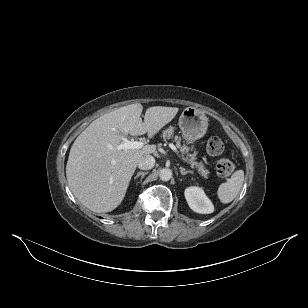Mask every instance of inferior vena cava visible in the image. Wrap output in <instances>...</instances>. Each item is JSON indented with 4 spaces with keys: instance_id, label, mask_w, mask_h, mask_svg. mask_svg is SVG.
<instances>
[{
    "instance_id": "obj_1",
    "label": "inferior vena cava",
    "mask_w": 308,
    "mask_h": 308,
    "mask_svg": "<svg viewBox=\"0 0 308 308\" xmlns=\"http://www.w3.org/2000/svg\"><path fill=\"white\" fill-rule=\"evenodd\" d=\"M155 166V159L151 155L142 156L138 162V168L141 170H150Z\"/></svg>"
}]
</instances>
